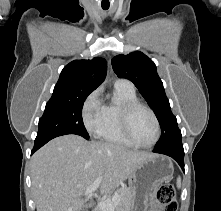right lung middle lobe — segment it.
Masks as SVG:
<instances>
[{
    "instance_id": "right-lung-middle-lobe-1",
    "label": "right lung middle lobe",
    "mask_w": 221,
    "mask_h": 211,
    "mask_svg": "<svg viewBox=\"0 0 221 211\" xmlns=\"http://www.w3.org/2000/svg\"><path fill=\"white\" fill-rule=\"evenodd\" d=\"M89 94L72 97H51L44 114L39 119V130L35 141L55 138L65 134H76L89 138L82 120V107Z\"/></svg>"
}]
</instances>
